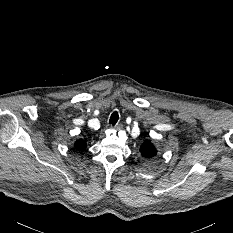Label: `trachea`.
<instances>
[{
	"label": "trachea",
	"instance_id": "1",
	"mask_svg": "<svg viewBox=\"0 0 233 233\" xmlns=\"http://www.w3.org/2000/svg\"><path fill=\"white\" fill-rule=\"evenodd\" d=\"M118 119H119L118 112H117V111H114V112L111 114L109 123L112 124V126H114V125L117 123Z\"/></svg>",
	"mask_w": 233,
	"mask_h": 233
}]
</instances>
